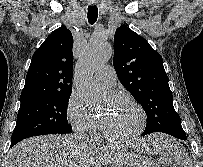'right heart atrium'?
<instances>
[{"mask_svg":"<svg viewBox=\"0 0 203 167\" xmlns=\"http://www.w3.org/2000/svg\"><path fill=\"white\" fill-rule=\"evenodd\" d=\"M66 116L71 127L79 133H93L98 127L96 117L75 94L68 99Z\"/></svg>","mask_w":203,"mask_h":167,"instance_id":"right-heart-atrium-1","label":"right heart atrium"}]
</instances>
